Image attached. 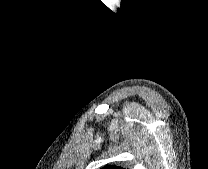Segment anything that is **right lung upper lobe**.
Listing matches in <instances>:
<instances>
[{
    "instance_id": "cb5924a9",
    "label": "right lung upper lobe",
    "mask_w": 208,
    "mask_h": 169,
    "mask_svg": "<svg viewBox=\"0 0 208 169\" xmlns=\"http://www.w3.org/2000/svg\"><path fill=\"white\" fill-rule=\"evenodd\" d=\"M100 169H124V168L118 167V166L106 165L105 167L100 168Z\"/></svg>"
}]
</instances>
